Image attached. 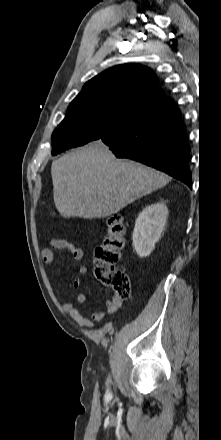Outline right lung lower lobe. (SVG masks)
Returning <instances> with one entry per match:
<instances>
[{
  "label": "right lung lower lobe",
  "mask_w": 221,
  "mask_h": 440,
  "mask_svg": "<svg viewBox=\"0 0 221 440\" xmlns=\"http://www.w3.org/2000/svg\"><path fill=\"white\" fill-rule=\"evenodd\" d=\"M118 158H129L192 186L190 147L180 110L169 97L133 112L100 138Z\"/></svg>",
  "instance_id": "obj_1"
}]
</instances>
